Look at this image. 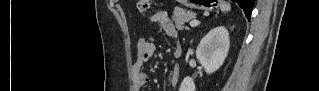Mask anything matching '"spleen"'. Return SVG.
<instances>
[{"mask_svg":"<svg viewBox=\"0 0 319 91\" xmlns=\"http://www.w3.org/2000/svg\"><path fill=\"white\" fill-rule=\"evenodd\" d=\"M220 9L221 11L225 12V11H229L231 9V6L229 3L225 2V1H222L220 3Z\"/></svg>","mask_w":319,"mask_h":91,"instance_id":"1","label":"spleen"}]
</instances>
